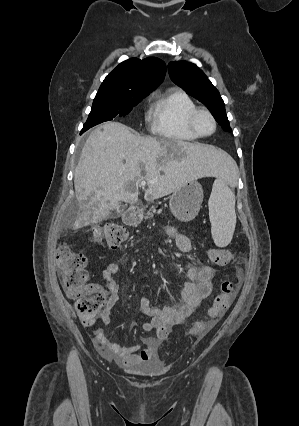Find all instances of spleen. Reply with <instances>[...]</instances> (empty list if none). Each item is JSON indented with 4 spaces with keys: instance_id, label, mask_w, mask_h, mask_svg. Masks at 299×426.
Instances as JSON below:
<instances>
[{
    "instance_id": "spleen-1",
    "label": "spleen",
    "mask_w": 299,
    "mask_h": 426,
    "mask_svg": "<svg viewBox=\"0 0 299 426\" xmlns=\"http://www.w3.org/2000/svg\"><path fill=\"white\" fill-rule=\"evenodd\" d=\"M211 233L218 247H226L233 238L236 225L235 195L225 176L214 181L208 202Z\"/></svg>"
}]
</instances>
